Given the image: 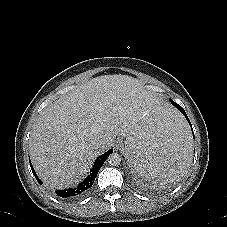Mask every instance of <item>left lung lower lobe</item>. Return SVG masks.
<instances>
[{
  "label": "left lung lower lobe",
  "instance_id": "1",
  "mask_svg": "<svg viewBox=\"0 0 227 227\" xmlns=\"http://www.w3.org/2000/svg\"><path fill=\"white\" fill-rule=\"evenodd\" d=\"M171 103L183 113V115L186 117L187 121L189 122L190 127H191V130H192V132H193L192 125H191L190 120H189L188 116L186 115L184 109H183L179 104L175 103V102L172 101V100H171ZM193 137H194V133H193ZM180 151H181L180 142H179L177 139L173 138V139L166 145V147L163 148L162 150H160L158 153L161 154V155L163 154L164 157H166V156H167L166 154H173V155H174V154L180 153ZM140 159H141V157L139 158V160H140ZM130 164H131V166H132V169H134V171L138 172V170H137V165H134L133 163H130ZM138 173H139V172H138ZM133 180H134L135 184H137V185L140 186V183L138 182V180H137L136 178L133 177Z\"/></svg>",
  "mask_w": 227,
  "mask_h": 227
}]
</instances>
